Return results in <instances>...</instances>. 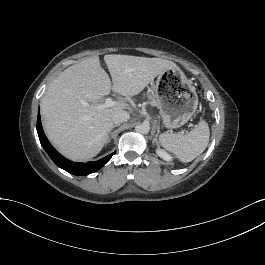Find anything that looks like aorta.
Listing matches in <instances>:
<instances>
[{"mask_svg":"<svg viewBox=\"0 0 265 265\" xmlns=\"http://www.w3.org/2000/svg\"><path fill=\"white\" fill-rule=\"evenodd\" d=\"M135 130L141 134H147L150 130V126L146 123L139 124L135 127Z\"/></svg>","mask_w":265,"mask_h":265,"instance_id":"obj_1","label":"aorta"}]
</instances>
